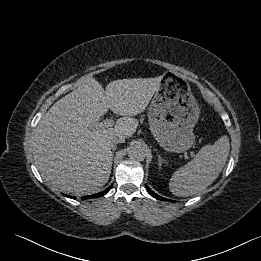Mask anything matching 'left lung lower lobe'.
I'll return each instance as SVG.
<instances>
[{
  "instance_id": "obj_1",
  "label": "left lung lower lobe",
  "mask_w": 261,
  "mask_h": 261,
  "mask_svg": "<svg viewBox=\"0 0 261 261\" xmlns=\"http://www.w3.org/2000/svg\"><path fill=\"white\" fill-rule=\"evenodd\" d=\"M146 188H147L149 194H150L151 196H153L154 198L159 199V200H162V201H169L168 199H165V198H163V197L157 195L156 193H154L147 185H146Z\"/></svg>"
}]
</instances>
